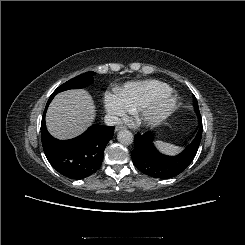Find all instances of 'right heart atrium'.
<instances>
[{
    "mask_svg": "<svg viewBox=\"0 0 245 245\" xmlns=\"http://www.w3.org/2000/svg\"><path fill=\"white\" fill-rule=\"evenodd\" d=\"M103 101L105 110L111 116L124 117L129 111L126 104L116 92H106Z\"/></svg>",
    "mask_w": 245,
    "mask_h": 245,
    "instance_id": "1",
    "label": "right heart atrium"
}]
</instances>
